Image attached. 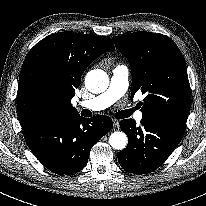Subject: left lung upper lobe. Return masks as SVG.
<instances>
[{"mask_svg":"<svg viewBox=\"0 0 206 206\" xmlns=\"http://www.w3.org/2000/svg\"><path fill=\"white\" fill-rule=\"evenodd\" d=\"M113 41L131 65V97L138 90L146 94L143 118L186 126L191 89L185 60L174 41L144 31L116 36Z\"/></svg>","mask_w":206,"mask_h":206,"instance_id":"left-lung-upper-lobe-1","label":"left lung upper lobe"}]
</instances>
